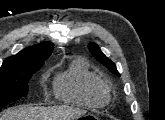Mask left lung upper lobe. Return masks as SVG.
I'll use <instances>...</instances> for the list:
<instances>
[{"instance_id": "1", "label": "left lung upper lobe", "mask_w": 165, "mask_h": 120, "mask_svg": "<svg viewBox=\"0 0 165 120\" xmlns=\"http://www.w3.org/2000/svg\"><path fill=\"white\" fill-rule=\"evenodd\" d=\"M88 48L91 54L99 62H101L104 66H106L112 73H114L117 76H120L119 72L116 69V65L101 52V50L96 44H89Z\"/></svg>"}]
</instances>
